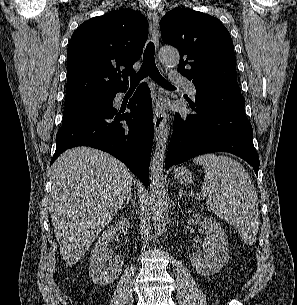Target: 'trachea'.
<instances>
[{
  "instance_id": "trachea-1",
  "label": "trachea",
  "mask_w": 297,
  "mask_h": 305,
  "mask_svg": "<svg viewBox=\"0 0 297 305\" xmlns=\"http://www.w3.org/2000/svg\"><path fill=\"white\" fill-rule=\"evenodd\" d=\"M154 53H155L154 44L152 42H149L144 51L143 63L139 72L130 78L131 86L138 85V83L143 78L149 75L155 82H157L162 87H174L167 80H165V78H163L162 75L159 73L155 64Z\"/></svg>"
}]
</instances>
